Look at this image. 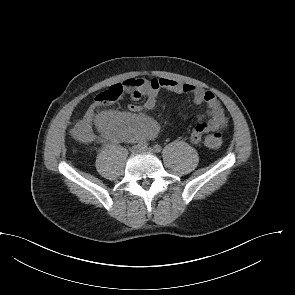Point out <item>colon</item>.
<instances>
[{"mask_svg":"<svg viewBox=\"0 0 295 295\" xmlns=\"http://www.w3.org/2000/svg\"><path fill=\"white\" fill-rule=\"evenodd\" d=\"M133 82L128 81L125 83H118L115 85L110 86L107 90L99 93L91 106V109L86 113L84 119L75 125V127L72 129V135L74 138H76L78 141L81 142H88L93 138V131L91 127V121L93 118V111L98 106H105L110 105L115 102H117L123 92L124 89H126L129 86H132ZM221 138L218 135L211 134L206 137L205 144L212 149H217L221 146Z\"/></svg>","mask_w":295,"mask_h":295,"instance_id":"1","label":"colon"}]
</instances>
